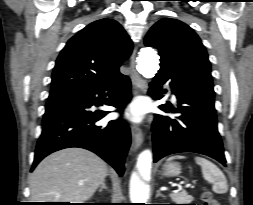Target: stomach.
I'll return each mask as SVG.
<instances>
[{
  "label": "stomach",
  "instance_id": "0dacf381",
  "mask_svg": "<svg viewBox=\"0 0 253 205\" xmlns=\"http://www.w3.org/2000/svg\"><path fill=\"white\" fill-rule=\"evenodd\" d=\"M181 172V167L176 162H170L164 165L163 174L165 176H176Z\"/></svg>",
  "mask_w": 253,
  "mask_h": 205
}]
</instances>
